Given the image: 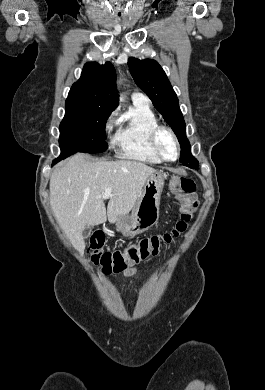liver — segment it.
<instances>
[{"instance_id":"liver-1","label":"liver","mask_w":265,"mask_h":390,"mask_svg":"<svg viewBox=\"0 0 265 390\" xmlns=\"http://www.w3.org/2000/svg\"><path fill=\"white\" fill-rule=\"evenodd\" d=\"M155 172L137 161L91 162L83 153L57 166L50 177V205L73 247L81 254L84 252L85 226H96L107 219L115 223L128 214L146 180ZM107 188L112 189V196L106 210L102 195Z\"/></svg>"}]
</instances>
